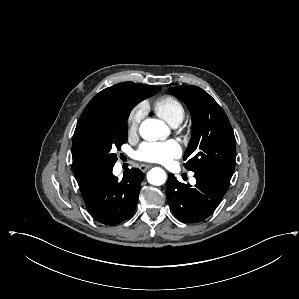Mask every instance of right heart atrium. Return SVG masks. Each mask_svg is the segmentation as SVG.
<instances>
[{
  "instance_id": "right-heart-atrium-1",
  "label": "right heart atrium",
  "mask_w": 299,
  "mask_h": 299,
  "mask_svg": "<svg viewBox=\"0 0 299 299\" xmlns=\"http://www.w3.org/2000/svg\"><path fill=\"white\" fill-rule=\"evenodd\" d=\"M146 113V106L143 103L135 105L127 116L128 132L133 134L137 131L140 122L144 118Z\"/></svg>"
}]
</instances>
